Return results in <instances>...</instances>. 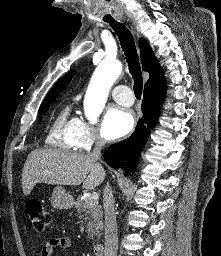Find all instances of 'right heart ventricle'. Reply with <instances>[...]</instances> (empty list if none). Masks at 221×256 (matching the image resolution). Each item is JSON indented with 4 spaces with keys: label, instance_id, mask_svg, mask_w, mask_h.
I'll list each match as a JSON object with an SVG mask.
<instances>
[{
    "label": "right heart ventricle",
    "instance_id": "1",
    "mask_svg": "<svg viewBox=\"0 0 221 256\" xmlns=\"http://www.w3.org/2000/svg\"><path fill=\"white\" fill-rule=\"evenodd\" d=\"M75 117L70 114V107H63L54 117L48 134L46 142L53 146L66 150L75 148L73 140V125Z\"/></svg>",
    "mask_w": 221,
    "mask_h": 256
}]
</instances>
